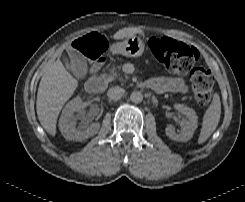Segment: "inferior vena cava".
<instances>
[{"instance_id":"inferior-vena-cava-1","label":"inferior vena cava","mask_w":245,"mask_h":202,"mask_svg":"<svg viewBox=\"0 0 245 202\" xmlns=\"http://www.w3.org/2000/svg\"><path fill=\"white\" fill-rule=\"evenodd\" d=\"M125 93V90L121 87L110 88L107 92V95L112 100H119Z\"/></svg>"}]
</instances>
